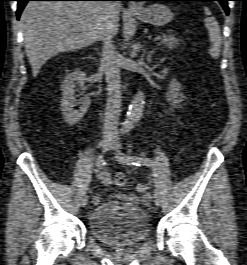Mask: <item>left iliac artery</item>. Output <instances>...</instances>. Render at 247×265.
Here are the masks:
<instances>
[{"label":"left iliac artery","instance_id":"obj_1","mask_svg":"<svg viewBox=\"0 0 247 265\" xmlns=\"http://www.w3.org/2000/svg\"><path fill=\"white\" fill-rule=\"evenodd\" d=\"M117 158L120 162L131 164V165H136V166L154 165L153 161L146 157L129 156L123 153H118Z\"/></svg>","mask_w":247,"mask_h":265}]
</instances>
